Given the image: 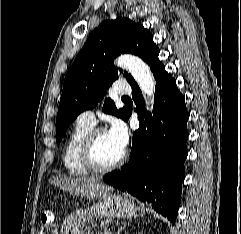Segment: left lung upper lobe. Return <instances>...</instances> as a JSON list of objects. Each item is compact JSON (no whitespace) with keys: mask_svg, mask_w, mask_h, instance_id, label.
<instances>
[{"mask_svg":"<svg viewBox=\"0 0 241 234\" xmlns=\"http://www.w3.org/2000/svg\"><path fill=\"white\" fill-rule=\"evenodd\" d=\"M157 50L152 34L140 23L126 18L101 23L90 34L65 76L57 113V144L74 119L81 112L94 108L119 73H123L114 66V58L131 53L147 62ZM124 76L129 83L134 81L126 71ZM103 111L125 121L129 113L126 107L118 110L110 98L105 100Z\"/></svg>","mask_w":241,"mask_h":234,"instance_id":"obj_1","label":"left lung upper lobe"}]
</instances>
